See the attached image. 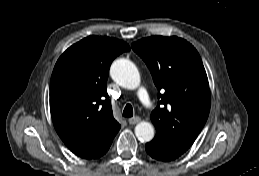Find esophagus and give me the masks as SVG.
I'll return each instance as SVG.
<instances>
[{"instance_id": "34e87169", "label": "esophagus", "mask_w": 259, "mask_h": 176, "mask_svg": "<svg viewBox=\"0 0 259 176\" xmlns=\"http://www.w3.org/2000/svg\"><path fill=\"white\" fill-rule=\"evenodd\" d=\"M140 121V117L136 116V117H132L128 119V122L130 125H135Z\"/></svg>"}]
</instances>
